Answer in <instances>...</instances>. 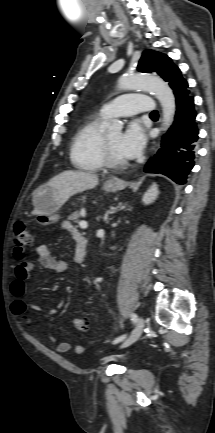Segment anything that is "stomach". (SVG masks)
<instances>
[{"label": "stomach", "instance_id": "0dacf381", "mask_svg": "<svg viewBox=\"0 0 215 433\" xmlns=\"http://www.w3.org/2000/svg\"><path fill=\"white\" fill-rule=\"evenodd\" d=\"M118 188L119 187L114 184H105L103 187L107 192H115ZM33 203L35 210L38 211L37 222L40 225L47 226L59 220L58 210L61 205L57 202L53 188L47 185L37 188L33 192Z\"/></svg>", "mask_w": 215, "mask_h": 433}]
</instances>
